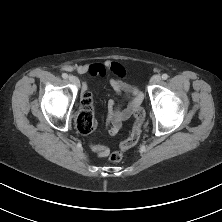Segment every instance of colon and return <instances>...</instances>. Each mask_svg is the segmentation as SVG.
Wrapping results in <instances>:
<instances>
[{"mask_svg": "<svg viewBox=\"0 0 222 222\" xmlns=\"http://www.w3.org/2000/svg\"><path fill=\"white\" fill-rule=\"evenodd\" d=\"M119 67L113 64L111 68ZM145 118V111L143 108H138L135 112V124L131 131L130 136L120 144L121 150H127L137 144L140 139L142 126ZM94 121V109L92 96L89 92H84L81 97V109L76 118V126L80 133L88 134L92 128ZM123 158V154L120 151L113 152L110 155L111 162H119Z\"/></svg>", "mask_w": 222, "mask_h": 222, "instance_id": "1", "label": "colon"}]
</instances>
